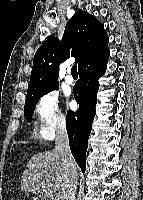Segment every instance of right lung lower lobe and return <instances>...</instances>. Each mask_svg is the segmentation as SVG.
I'll use <instances>...</instances> for the list:
<instances>
[{
    "label": "right lung lower lobe",
    "mask_w": 143,
    "mask_h": 200,
    "mask_svg": "<svg viewBox=\"0 0 143 200\" xmlns=\"http://www.w3.org/2000/svg\"><path fill=\"white\" fill-rule=\"evenodd\" d=\"M110 51L107 48L99 55L87 61L79 69V80L73 90L79 108L76 112L68 111L66 119L72 155L84 172L86 168L85 156L88 147V138L95 117L97 103L98 79L104 75Z\"/></svg>",
    "instance_id": "98d812e1"
}]
</instances>
